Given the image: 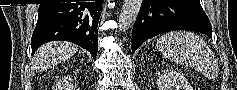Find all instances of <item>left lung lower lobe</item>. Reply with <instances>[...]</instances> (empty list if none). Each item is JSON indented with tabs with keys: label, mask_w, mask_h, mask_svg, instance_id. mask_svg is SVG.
Wrapping results in <instances>:
<instances>
[{
	"label": "left lung lower lobe",
	"mask_w": 237,
	"mask_h": 90,
	"mask_svg": "<svg viewBox=\"0 0 237 90\" xmlns=\"http://www.w3.org/2000/svg\"><path fill=\"white\" fill-rule=\"evenodd\" d=\"M173 30L212 37L210 21L199 0H144L132 30V52L147 39Z\"/></svg>",
	"instance_id": "obj_1"
}]
</instances>
